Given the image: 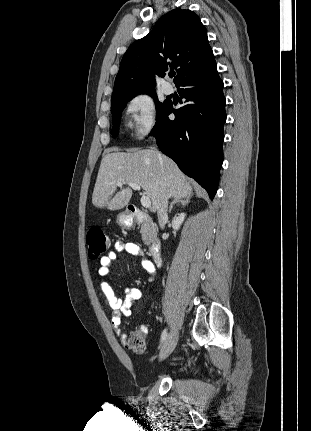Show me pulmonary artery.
Wrapping results in <instances>:
<instances>
[{
	"instance_id": "obj_1",
	"label": "pulmonary artery",
	"mask_w": 311,
	"mask_h": 431,
	"mask_svg": "<svg viewBox=\"0 0 311 431\" xmlns=\"http://www.w3.org/2000/svg\"><path fill=\"white\" fill-rule=\"evenodd\" d=\"M162 90L167 95L172 94L173 91H174L173 86L169 82H167V81L163 82V84H162Z\"/></svg>"
}]
</instances>
